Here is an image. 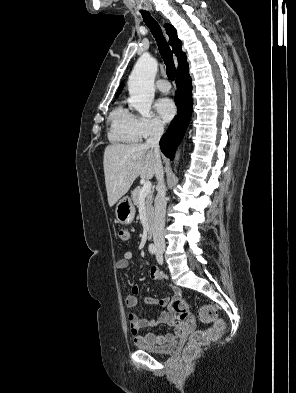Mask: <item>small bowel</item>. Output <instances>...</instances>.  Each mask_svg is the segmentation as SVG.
<instances>
[{"label":"small bowel","mask_w":296,"mask_h":393,"mask_svg":"<svg viewBox=\"0 0 296 393\" xmlns=\"http://www.w3.org/2000/svg\"><path fill=\"white\" fill-rule=\"evenodd\" d=\"M132 259L133 253L126 252L124 256L116 262V268L121 271L127 270L131 265ZM150 276L162 283H167L168 281L167 275L156 267L152 268L150 271ZM171 290L173 292L172 297H165L160 300L152 297L144 298V303L151 306H161L164 308L158 319L151 317L140 318L138 314L133 311L128 313L130 331L136 345H161L193 331L195 327V321L193 317H189L186 322H176L175 315L172 311V303L175 302L176 299H182V293L180 289L175 286H171ZM138 294L139 287L137 285L132 286L125 299V304L129 309H135L138 306ZM161 323L174 326L173 332L166 333L164 335H158L155 333H148L146 335L141 334L142 328L155 327Z\"/></svg>","instance_id":"1"}]
</instances>
